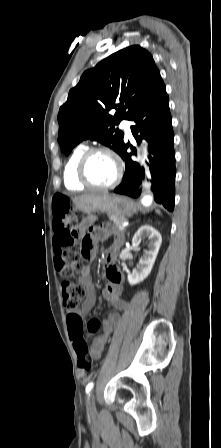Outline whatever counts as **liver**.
Instances as JSON below:
<instances>
[{
	"label": "liver",
	"instance_id": "obj_1",
	"mask_svg": "<svg viewBox=\"0 0 221 448\" xmlns=\"http://www.w3.org/2000/svg\"><path fill=\"white\" fill-rule=\"evenodd\" d=\"M93 195H95V194H86V195H83V196H81V197L75 199V202L78 201V200L86 199V198L91 197V196H93Z\"/></svg>",
	"mask_w": 221,
	"mask_h": 448
}]
</instances>
